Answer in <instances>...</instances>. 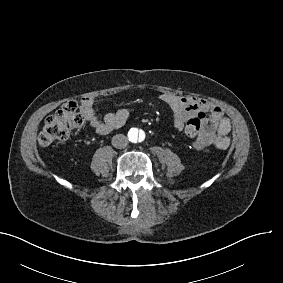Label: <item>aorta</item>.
<instances>
[{
    "mask_svg": "<svg viewBox=\"0 0 283 283\" xmlns=\"http://www.w3.org/2000/svg\"><path fill=\"white\" fill-rule=\"evenodd\" d=\"M145 137V132L139 128H131L128 132L129 141L132 143L142 142Z\"/></svg>",
    "mask_w": 283,
    "mask_h": 283,
    "instance_id": "762f6f07",
    "label": "aorta"
}]
</instances>
